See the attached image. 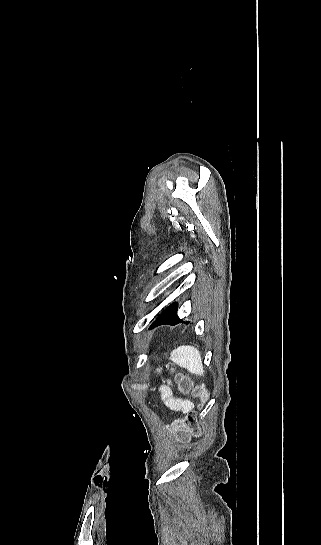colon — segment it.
I'll use <instances>...</instances> for the list:
<instances>
[{
	"instance_id": "5ec220e1",
	"label": "colon",
	"mask_w": 321,
	"mask_h": 545,
	"mask_svg": "<svg viewBox=\"0 0 321 545\" xmlns=\"http://www.w3.org/2000/svg\"><path fill=\"white\" fill-rule=\"evenodd\" d=\"M178 387L180 390L190 392L193 396L199 397L202 401H206L207 394L203 387L193 386L184 377L178 376ZM169 429L174 432L180 440L186 439L191 435L199 434L197 414L190 411L182 419H177L171 423Z\"/></svg>"
}]
</instances>
